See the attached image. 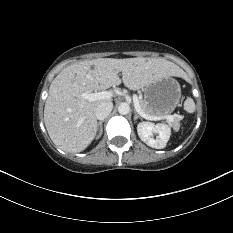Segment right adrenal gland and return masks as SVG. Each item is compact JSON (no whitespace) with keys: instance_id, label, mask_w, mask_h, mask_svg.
<instances>
[{"instance_id":"right-adrenal-gland-1","label":"right adrenal gland","mask_w":233,"mask_h":233,"mask_svg":"<svg viewBox=\"0 0 233 233\" xmlns=\"http://www.w3.org/2000/svg\"><path fill=\"white\" fill-rule=\"evenodd\" d=\"M104 120L100 121L98 124H97V128L99 130V134L97 136V138H100L101 135H102V132H103V127H102V124H103Z\"/></svg>"}]
</instances>
